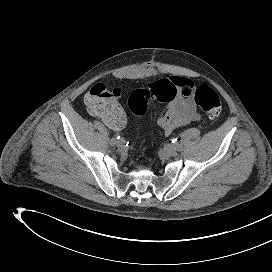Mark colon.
<instances>
[{
	"mask_svg": "<svg viewBox=\"0 0 272 272\" xmlns=\"http://www.w3.org/2000/svg\"><path fill=\"white\" fill-rule=\"evenodd\" d=\"M178 93V87L172 79L158 80L149 87L133 91L128 99L131 112L141 116L147 112L148 102L157 100L161 102L172 101ZM185 96L194 95L195 102L209 118H216L221 114L222 103L217 92L206 84L195 88H184ZM120 95L119 89H107L103 84L94 85L85 97L89 110L98 116H106L114 108V102Z\"/></svg>",
	"mask_w": 272,
	"mask_h": 272,
	"instance_id": "colon-1",
	"label": "colon"
}]
</instances>
